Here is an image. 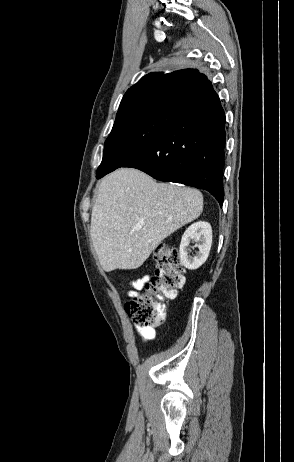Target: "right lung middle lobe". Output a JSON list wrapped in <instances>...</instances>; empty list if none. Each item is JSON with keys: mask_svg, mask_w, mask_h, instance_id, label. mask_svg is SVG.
Instances as JSON below:
<instances>
[{"mask_svg": "<svg viewBox=\"0 0 294 462\" xmlns=\"http://www.w3.org/2000/svg\"><path fill=\"white\" fill-rule=\"evenodd\" d=\"M186 104V98L180 93H170L117 112L112 131L105 141L97 176L121 167L146 142L162 132Z\"/></svg>", "mask_w": 294, "mask_h": 462, "instance_id": "right-lung-middle-lobe-1", "label": "right lung middle lobe"}]
</instances>
